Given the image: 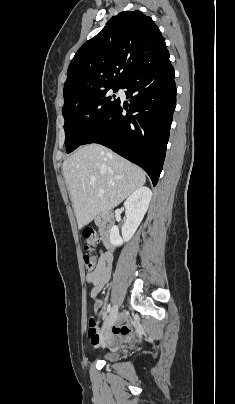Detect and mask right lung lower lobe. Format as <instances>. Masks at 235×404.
Instances as JSON below:
<instances>
[{
	"label": "right lung lower lobe",
	"instance_id": "obj_1",
	"mask_svg": "<svg viewBox=\"0 0 235 404\" xmlns=\"http://www.w3.org/2000/svg\"><path fill=\"white\" fill-rule=\"evenodd\" d=\"M120 101L81 145L99 143L143 168L153 185L162 171L176 106L174 69L169 56L131 75ZM123 109L127 114H123Z\"/></svg>",
	"mask_w": 235,
	"mask_h": 404
}]
</instances>
